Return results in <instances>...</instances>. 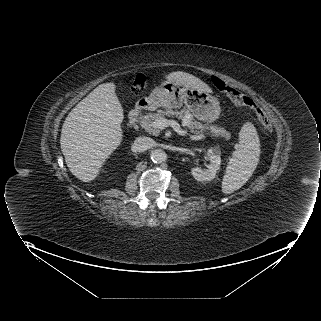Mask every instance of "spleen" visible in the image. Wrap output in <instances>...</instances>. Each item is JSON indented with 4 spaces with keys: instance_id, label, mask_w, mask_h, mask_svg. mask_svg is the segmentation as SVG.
<instances>
[{
    "instance_id": "obj_1",
    "label": "spleen",
    "mask_w": 321,
    "mask_h": 321,
    "mask_svg": "<svg viewBox=\"0 0 321 321\" xmlns=\"http://www.w3.org/2000/svg\"><path fill=\"white\" fill-rule=\"evenodd\" d=\"M260 140L256 128L245 123L239 132V144L226 167L222 191L231 194L241 188L252 176L259 162Z\"/></svg>"
}]
</instances>
